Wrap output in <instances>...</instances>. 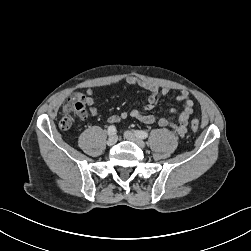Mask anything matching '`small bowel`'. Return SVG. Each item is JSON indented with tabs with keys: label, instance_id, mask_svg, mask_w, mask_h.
Masks as SVG:
<instances>
[{
	"label": "small bowel",
	"instance_id": "obj_1",
	"mask_svg": "<svg viewBox=\"0 0 251 251\" xmlns=\"http://www.w3.org/2000/svg\"><path fill=\"white\" fill-rule=\"evenodd\" d=\"M125 82L130 86H137L149 92V97L147 102L144 104L141 110L134 109L129 112L124 111L120 115H112L107 118L108 123H117L121 120L132 118L144 124H153L158 123L161 127L172 128L179 136L183 137L187 133V126L190 119V116L194 112V103L190 98V95L187 91H180L176 100L183 103V110L177 117V123H174V115L176 113L175 109H171L170 117H161L157 119L153 114L150 113L155 106L160 97L166 96L169 94L170 89L166 87H160L154 83L139 79L135 76H127ZM85 105L87 106L91 115H97V108L95 106V99L93 96V91L91 89L87 90L86 96H82Z\"/></svg>",
	"mask_w": 251,
	"mask_h": 251
}]
</instances>
